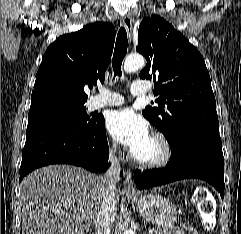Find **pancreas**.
<instances>
[{
	"mask_svg": "<svg viewBox=\"0 0 241 234\" xmlns=\"http://www.w3.org/2000/svg\"><path fill=\"white\" fill-rule=\"evenodd\" d=\"M153 234H184V232L182 230L154 228Z\"/></svg>",
	"mask_w": 241,
	"mask_h": 234,
	"instance_id": "obj_1",
	"label": "pancreas"
}]
</instances>
